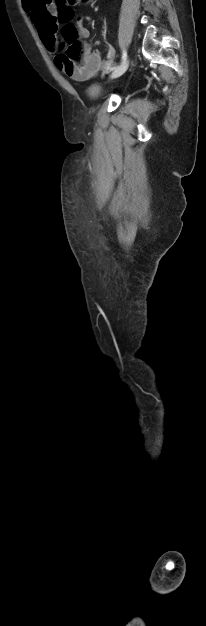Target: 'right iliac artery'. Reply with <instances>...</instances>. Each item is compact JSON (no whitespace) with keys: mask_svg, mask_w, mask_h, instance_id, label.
<instances>
[{"mask_svg":"<svg viewBox=\"0 0 206 626\" xmlns=\"http://www.w3.org/2000/svg\"><path fill=\"white\" fill-rule=\"evenodd\" d=\"M126 58H127V53H126V51L124 50V51H123V53H122V59H121V64H120V65H122V64L126 61ZM118 67H119V66H118Z\"/></svg>","mask_w":206,"mask_h":626,"instance_id":"right-iliac-artery-1","label":"right iliac artery"}]
</instances>
